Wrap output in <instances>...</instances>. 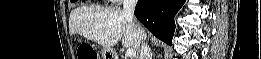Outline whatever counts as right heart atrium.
Instances as JSON below:
<instances>
[{
    "instance_id": "d8ad5b80",
    "label": "right heart atrium",
    "mask_w": 261,
    "mask_h": 59,
    "mask_svg": "<svg viewBox=\"0 0 261 59\" xmlns=\"http://www.w3.org/2000/svg\"><path fill=\"white\" fill-rule=\"evenodd\" d=\"M123 0H112L113 3L115 4H120Z\"/></svg>"
}]
</instances>
